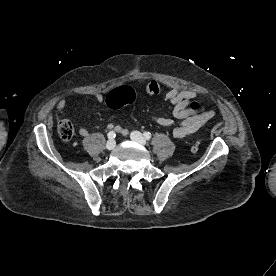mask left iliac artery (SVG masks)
<instances>
[{
    "label": "left iliac artery",
    "instance_id": "obj_1",
    "mask_svg": "<svg viewBox=\"0 0 276 276\" xmlns=\"http://www.w3.org/2000/svg\"><path fill=\"white\" fill-rule=\"evenodd\" d=\"M143 135L147 140L151 139V133L150 132H144Z\"/></svg>",
    "mask_w": 276,
    "mask_h": 276
}]
</instances>
